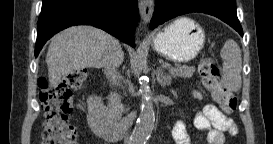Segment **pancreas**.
Wrapping results in <instances>:
<instances>
[{
  "instance_id": "cf45deb5",
  "label": "pancreas",
  "mask_w": 273,
  "mask_h": 144,
  "mask_svg": "<svg viewBox=\"0 0 273 144\" xmlns=\"http://www.w3.org/2000/svg\"><path fill=\"white\" fill-rule=\"evenodd\" d=\"M172 76H179L183 78H191L193 73L195 72L194 67L181 66L176 65L169 69ZM123 111V107L120 104L119 97L116 94H110L108 105L106 107V113L110 118L119 119L121 113Z\"/></svg>"
}]
</instances>
